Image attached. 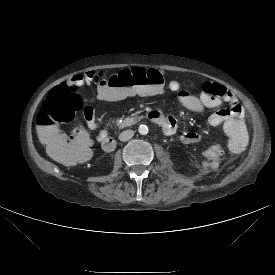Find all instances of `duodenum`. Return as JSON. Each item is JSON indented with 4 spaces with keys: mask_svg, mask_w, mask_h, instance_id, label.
Wrapping results in <instances>:
<instances>
[{
    "mask_svg": "<svg viewBox=\"0 0 275 275\" xmlns=\"http://www.w3.org/2000/svg\"><path fill=\"white\" fill-rule=\"evenodd\" d=\"M155 115H156L155 112H152V111L148 113L149 118L151 119L152 117L153 121H154ZM116 146H117V141L113 137H107L102 142V148L107 152L113 151L116 148Z\"/></svg>",
    "mask_w": 275,
    "mask_h": 275,
    "instance_id": "410a0bca",
    "label": "duodenum"
}]
</instances>
